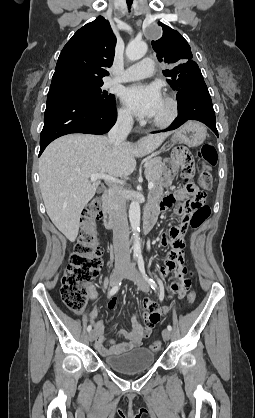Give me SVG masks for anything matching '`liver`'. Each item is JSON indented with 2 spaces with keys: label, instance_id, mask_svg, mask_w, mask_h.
Returning a JSON list of instances; mask_svg holds the SVG:
<instances>
[{
  "label": "liver",
  "instance_id": "liver-1",
  "mask_svg": "<svg viewBox=\"0 0 255 418\" xmlns=\"http://www.w3.org/2000/svg\"><path fill=\"white\" fill-rule=\"evenodd\" d=\"M170 132L148 135L137 143L110 144L106 136L69 134L53 141L39 160L40 189L48 216L65 237L77 238L81 211L100 184L90 174L127 177L135 157L155 151Z\"/></svg>",
  "mask_w": 255,
  "mask_h": 418
}]
</instances>
